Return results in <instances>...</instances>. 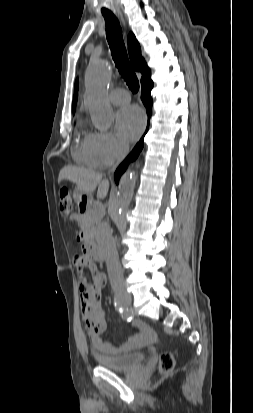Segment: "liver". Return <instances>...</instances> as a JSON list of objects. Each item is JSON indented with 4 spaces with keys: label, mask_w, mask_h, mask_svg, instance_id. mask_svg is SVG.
<instances>
[{
    "label": "liver",
    "mask_w": 253,
    "mask_h": 413,
    "mask_svg": "<svg viewBox=\"0 0 253 413\" xmlns=\"http://www.w3.org/2000/svg\"><path fill=\"white\" fill-rule=\"evenodd\" d=\"M69 180L86 193H92L98 187L97 197L105 198L109 190V181L102 179V174L76 166H65L60 170L58 183Z\"/></svg>",
    "instance_id": "obj_1"
}]
</instances>
